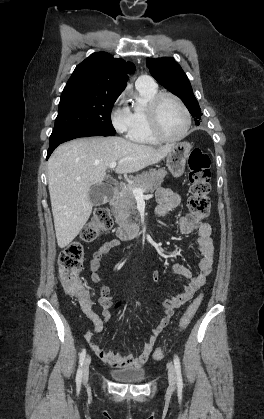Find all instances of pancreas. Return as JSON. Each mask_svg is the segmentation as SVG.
Returning a JSON list of instances; mask_svg holds the SVG:
<instances>
[{
    "label": "pancreas",
    "instance_id": "cf45deb5",
    "mask_svg": "<svg viewBox=\"0 0 264 419\" xmlns=\"http://www.w3.org/2000/svg\"><path fill=\"white\" fill-rule=\"evenodd\" d=\"M167 172L164 169H152L149 172L138 174L128 186L122 187L119 197L112 207L116 222L119 225L132 223V218L137 215L136 198L132 188L143 189L144 192H154L160 188Z\"/></svg>",
    "mask_w": 264,
    "mask_h": 419
}]
</instances>
